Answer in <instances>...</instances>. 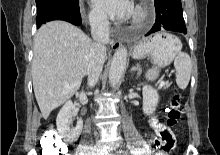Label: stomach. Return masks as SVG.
Wrapping results in <instances>:
<instances>
[{
    "mask_svg": "<svg viewBox=\"0 0 220 155\" xmlns=\"http://www.w3.org/2000/svg\"><path fill=\"white\" fill-rule=\"evenodd\" d=\"M182 48L179 38L168 32H159L140 42L133 51L134 58L150 56L154 67L147 76L154 79L160 67L168 66Z\"/></svg>",
    "mask_w": 220,
    "mask_h": 155,
    "instance_id": "obj_1",
    "label": "stomach"
}]
</instances>
